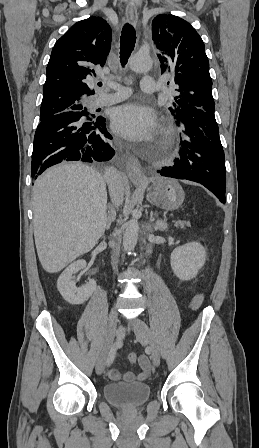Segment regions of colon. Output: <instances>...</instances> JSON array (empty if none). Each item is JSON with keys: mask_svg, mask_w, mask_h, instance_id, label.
<instances>
[{"mask_svg": "<svg viewBox=\"0 0 259 448\" xmlns=\"http://www.w3.org/2000/svg\"><path fill=\"white\" fill-rule=\"evenodd\" d=\"M139 358H140V357H138L137 354H135V353H130V354L128 355V360H129L131 363H136L137 361H139Z\"/></svg>", "mask_w": 259, "mask_h": 448, "instance_id": "5ec220e1", "label": "colon"}]
</instances>
